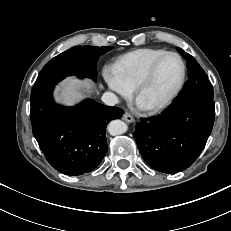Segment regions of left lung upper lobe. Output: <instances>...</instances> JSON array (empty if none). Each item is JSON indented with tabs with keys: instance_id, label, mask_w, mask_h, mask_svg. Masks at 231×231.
Returning <instances> with one entry per match:
<instances>
[{
	"instance_id": "5c2ea615",
	"label": "left lung upper lobe",
	"mask_w": 231,
	"mask_h": 231,
	"mask_svg": "<svg viewBox=\"0 0 231 231\" xmlns=\"http://www.w3.org/2000/svg\"><path fill=\"white\" fill-rule=\"evenodd\" d=\"M177 50L187 61L189 79L175 100L188 97H205L213 99V88L205 71L200 67L193 56L185 53L181 48L177 47Z\"/></svg>"
}]
</instances>
